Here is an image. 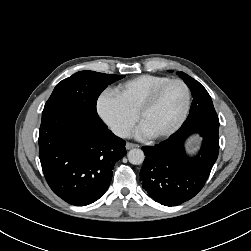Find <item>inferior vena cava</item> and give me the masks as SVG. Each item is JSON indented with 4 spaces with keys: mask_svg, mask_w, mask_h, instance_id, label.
Here are the masks:
<instances>
[{
    "mask_svg": "<svg viewBox=\"0 0 251 251\" xmlns=\"http://www.w3.org/2000/svg\"><path fill=\"white\" fill-rule=\"evenodd\" d=\"M111 130L116 136H119L122 138H130L131 137V132L126 128H123L120 126H113L111 128Z\"/></svg>",
    "mask_w": 251,
    "mask_h": 251,
    "instance_id": "602c4592",
    "label": "inferior vena cava"
}]
</instances>
